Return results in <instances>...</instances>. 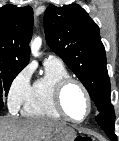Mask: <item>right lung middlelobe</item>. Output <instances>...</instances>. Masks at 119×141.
Returning <instances> with one entry per match:
<instances>
[{
	"label": "right lung middle lobe",
	"mask_w": 119,
	"mask_h": 141,
	"mask_svg": "<svg viewBox=\"0 0 119 141\" xmlns=\"http://www.w3.org/2000/svg\"><path fill=\"white\" fill-rule=\"evenodd\" d=\"M20 70H0V110L3 107V96H7L10 85Z\"/></svg>",
	"instance_id": "right-lung-middle-lobe-1"
}]
</instances>
